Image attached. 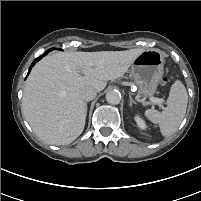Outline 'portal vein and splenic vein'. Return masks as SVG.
<instances>
[{
  "label": "portal vein and splenic vein",
  "mask_w": 201,
  "mask_h": 201,
  "mask_svg": "<svg viewBox=\"0 0 201 201\" xmlns=\"http://www.w3.org/2000/svg\"><path fill=\"white\" fill-rule=\"evenodd\" d=\"M151 101L156 103V104H159V105H162L164 103V101L160 98H155V97H152L151 98Z\"/></svg>",
  "instance_id": "portal-vein-and-splenic-vein-1"
}]
</instances>
